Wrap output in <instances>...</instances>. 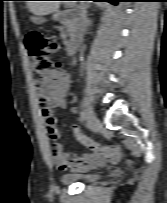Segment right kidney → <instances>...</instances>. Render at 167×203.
Returning <instances> with one entry per match:
<instances>
[{
	"label": "right kidney",
	"instance_id": "obj_1",
	"mask_svg": "<svg viewBox=\"0 0 167 203\" xmlns=\"http://www.w3.org/2000/svg\"><path fill=\"white\" fill-rule=\"evenodd\" d=\"M75 62H76V61H75V60H73V64H75Z\"/></svg>",
	"mask_w": 167,
	"mask_h": 203
}]
</instances>
